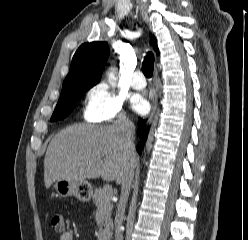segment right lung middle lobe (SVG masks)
Listing matches in <instances>:
<instances>
[{
  "instance_id": "obj_1",
  "label": "right lung middle lobe",
  "mask_w": 248,
  "mask_h": 240,
  "mask_svg": "<svg viewBox=\"0 0 248 240\" xmlns=\"http://www.w3.org/2000/svg\"><path fill=\"white\" fill-rule=\"evenodd\" d=\"M86 87L70 86L62 89L60 99L51 117V121L66 118L75 108L78 99L88 90Z\"/></svg>"
}]
</instances>
